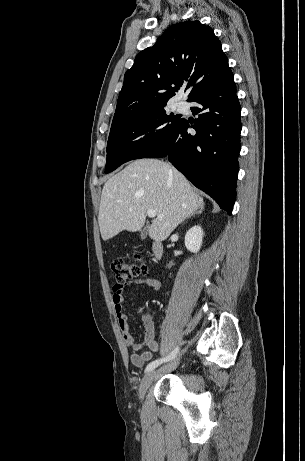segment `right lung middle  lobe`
I'll list each match as a JSON object with an SVG mask.
<instances>
[{
	"instance_id": "right-lung-middle-lobe-1",
	"label": "right lung middle lobe",
	"mask_w": 305,
	"mask_h": 461,
	"mask_svg": "<svg viewBox=\"0 0 305 461\" xmlns=\"http://www.w3.org/2000/svg\"><path fill=\"white\" fill-rule=\"evenodd\" d=\"M165 106L122 119L111 126L105 173L160 148L181 122Z\"/></svg>"
}]
</instances>
